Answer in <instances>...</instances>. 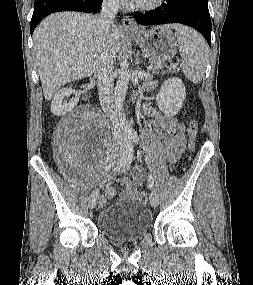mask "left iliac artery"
<instances>
[{
	"mask_svg": "<svg viewBox=\"0 0 253 285\" xmlns=\"http://www.w3.org/2000/svg\"><path fill=\"white\" fill-rule=\"evenodd\" d=\"M130 140L133 141L134 143L138 144L139 142V137L136 133H131L129 136ZM148 188L152 189L154 186V179L153 176L150 174L147 180Z\"/></svg>",
	"mask_w": 253,
	"mask_h": 285,
	"instance_id": "1",
	"label": "left iliac artery"
}]
</instances>
